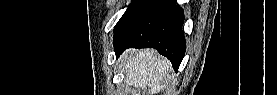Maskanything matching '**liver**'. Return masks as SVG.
<instances>
[{"mask_svg":"<svg viewBox=\"0 0 277 95\" xmlns=\"http://www.w3.org/2000/svg\"><path fill=\"white\" fill-rule=\"evenodd\" d=\"M119 61L124 66L127 85L140 88L147 95H158L167 87L171 63L154 49L127 50Z\"/></svg>","mask_w":277,"mask_h":95,"instance_id":"liver-1","label":"liver"}]
</instances>
